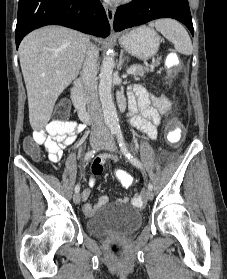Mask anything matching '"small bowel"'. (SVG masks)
I'll use <instances>...</instances> for the list:
<instances>
[{
	"label": "small bowel",
	"mask_w": 227,
	"mask_h": 279,
	"mask_svg": "<svg viewBox=\"0 0 227 279\" xmlns=\"http://www.w3.org/2000/svg\"><path fill=\"white\" fill-rule=\"evenodd\" d=\"M128 98L131 124L143 131L149 138L155 139L161 116L166 115L172 107L171 99L165 95L151 94L140 85L132 87V92ZM120 102H123L122 98H120ZM83 129V124L76 121H68L65 127H61L59 122L53 121L45 128L35 131L27 141L33 140L43 145L48 154V159L51 162H57L61 159L64 150L76 140L77 133ZM104 160L105 157L99 158V162ZM95 183L96 178L94 176L90 177L89 185L93 186ZM81 195L82 199L87 201L90 197V190L85 188ZM107 202L108 197L103 195L96 204L85 203L83 212L88 215L92 214Z\"/></svg>",
	"instance_id": "1"
}]
</instances>
